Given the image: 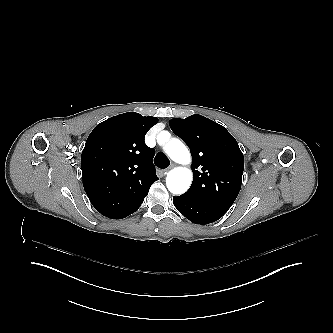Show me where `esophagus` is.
Segmentation results:
<instances>
[{
  "instance_id": "1",
  "label": "esophagus",
  "mask_w": 333,
  "mask_h": 333,
  "mask_svg": "<svg viewBox=\"0 0 333 333\" xmlns=\"http://www.w3.org/2000/svg\"><path fill=\"white\" fill-rule=\"evenodd\" d=\"M176 166H177V164H175V163L171 164L168 168L163 170V173L166 174L167 172H169L171 169H173Z\"/></svg>"
}]
</instances>
